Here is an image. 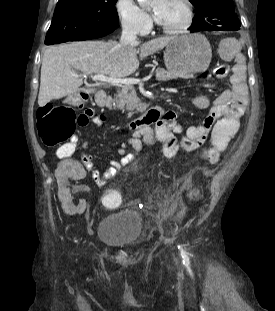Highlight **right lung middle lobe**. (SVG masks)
<instances>
[{"mask_svg": "<svg viewBox=\"0 0 275 311\" xmlns=\"http://www.w3.org/2000/svg\"><path fill=\"white\" fill-rule=\"evenodd\" d=\"M117 0H59L45 44L98 38L118 26Z\"/></svg>", "mask_w": 275, "mask_h": 311, "instance_id": "right-lung-middle-lobe-1", "label": "right lung middle lobe"}]
</instances>
